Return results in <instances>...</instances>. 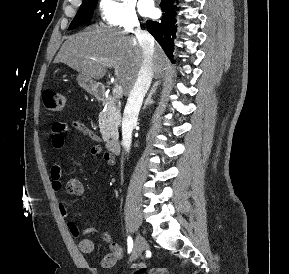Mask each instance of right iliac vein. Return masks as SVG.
Wrapping results in <instances>:
<instances>
[{"instance_id":"obj_1","label":"right iliac vein","mask_w":289,"mask_h":274,"mask_svg":"<svg viewBox=\"0 0 289 274\" xmlns=\"http://www.w3.org/2000/svg\"><path fill=\"white\" fill-rule=\"evenodd\" d=\"M146 246L147 242L145 238L140 233H137L130 261L138 259L141 256L144 249L146 248Z\"/></svg>"}]
</instances>
